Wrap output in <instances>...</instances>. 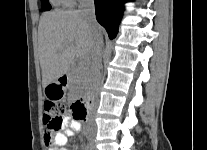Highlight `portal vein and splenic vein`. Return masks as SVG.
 Wrapping results in <instances>:
<instances>
[{
    "label": "portal vein and splenic vein",
    "mask_w": 207,
    "mask_h": 150,
    "mask_svg": "<svg viewBox=\"0 0 207 150\" xmlns=\"http://www.w3.org/2000/svg\"><path fill=\"white\" fill-rule=\"evenodd\" d=\"M86 62H87L86 60H80L79 61V63H81V64H86Z\"/></svg>",
    "instance_id": "1"
}]
</instances>
